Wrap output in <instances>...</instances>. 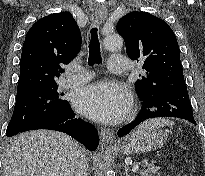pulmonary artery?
<instances>
[{
    "instance_id": "e3ab8cb5",
    "label": "pulmonary artery",
    "mask_w": 205,
    "mask_h": 176,
    "mask_svg": "<svg viewBox=\"0 0 205 176\" xmlns=\"http://www.w3.org/2000/svg\"><path fill=\"white\" fill-rule=\"evenodd\" d=\"M110 70L116 74H125L129 68V61L124 55H112L109 58ZM79 67H74L75 74L68 78L67 85L69 87L79 86L87 83L92 78V72L89 70L84 73L78 72Z\"/></svg>"
}]
</instances>
